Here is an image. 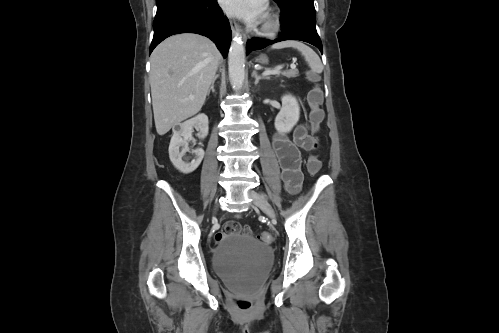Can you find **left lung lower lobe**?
<instances>
[{"instance_id": "0a47b994", "label": "left lung lower lobe", "mask_w": 499, "mask_h": 333, "mask_svg": "<svg viewBox=\"0 0 499 333\" xmlns=\"http://www.w3.org/2000/svg\"><path fill=\"white\" fill-rule=\"evenodd\" d=\"M276 1V0H275ZM281 9L282 32L273 40L253 38L247 42V55L268 45L285 41L301 40L316 46L322 53V43L316 31L314 0L276 1Z\"/></svg>"}]
</instances>
